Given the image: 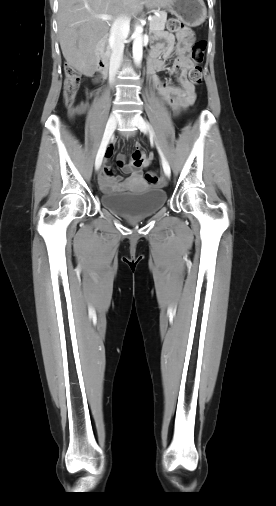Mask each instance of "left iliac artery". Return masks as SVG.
<instances>
[{
  "mask_svg": "<svg viewBox=\"0 0 276 506\" xmlns=\"http://www.w3.org/2000/svg\"><path fill=\"white\" fill-rule=\"evenodd\" d=\"M147 124H148V127H149V129H150V133H151V135H152V137H153V136H154L153 129H152V127L150 126V124H149V123H147ZM159 151H160V150H159ZM160 154H161V156L163 157V154H162V152H161V151H160ZM165 174H168V173L165 171Z\"/></svg>",
  "mask_w": 276,
  "mask_h": 506,
  "instance_id": "44dca946",
  "label": "left iliac artery"
}]
</instances>
